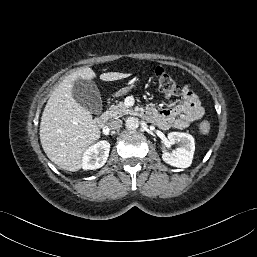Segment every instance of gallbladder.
Instances as JSON below:
<instances>
[{
    "instance_id": "gallbladder-1",
    "label": "gallbladder",
    "mask_w": 257,
    "mask_h": 257,
    "mask_svg": "<svg viewBox=\"0 0 257 257\" xmlns=\"http://www.w3.org/2000/svg\"><path fill=\"white\" fill-rule=\"evenodd\" d=\"M75 101L92 114H100L102 100L98 88L93 82L76 80L72 90Z\"/></svg>"
}]
</instances>
